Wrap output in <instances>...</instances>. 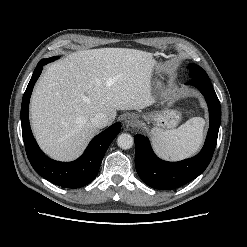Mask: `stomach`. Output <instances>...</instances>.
I'll return each instance as SVG.
<instances>
[{"instance_id":"obj_1","label":"stomach","mask_w":247,"mask_h":247,"mask_svg":"<svg viewBox=\"0 0 247 247\" xmlns=\"http://www.w3.org/2000/svg\"><path fill=\"white\" fill-rule=\"evenodd\" d=\"M147 123L153 122L160 129L168 130L174 128L180 120V113L175 110H163L161 112H149L142 115Z\"/></svg>"}]
</instances>
